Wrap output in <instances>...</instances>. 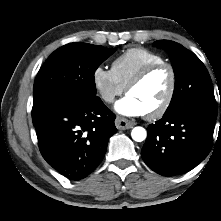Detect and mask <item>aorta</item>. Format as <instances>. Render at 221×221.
<instances>
[{"mask_svg": "<svg viewBox=\"0 0 221 221\" xmlns=\"http://www.w3.org/2000/svg\"><path fill=\"white\" fill-rule=\"evenodd\" d=\"M147 132L143 127H134L131 132V137L136 142H142L146 139Z\"/></svg>", "mask_w": 221, "mask_h": 221, "instance_id": "aorta-1", "label": "aorta"}]
</instances>
